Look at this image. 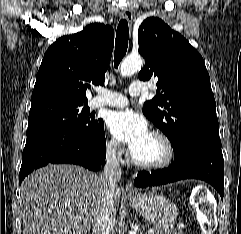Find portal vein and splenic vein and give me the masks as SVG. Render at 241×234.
<instances>
[{
	"label": "portal vein and splenic vein",
	"mask_w": 241,
	"mask_h": 234,
	"mask_svg": "<svg viewBox=\"0 0 241 234\" xmlns=\"http://www.w3.org/2000/svg\"><path fill=\"white\" fill-rule=\"evenodd\" d=\"M152 233H153V231H150V232H149V234H152Z\"/></svg>",
	"instance_id": "portal-vein-and-splenic-vein-1"
}]
</instances>
